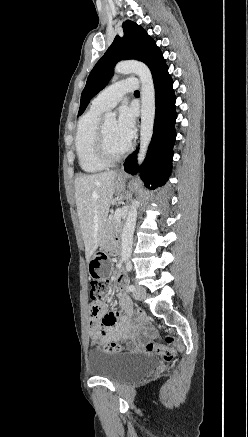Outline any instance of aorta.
<instances>
[{"mask_svg": "<svg viewBox=\"0 0 248 437\" xmlns=\"http://www.w3.org/2000/svg\"><path fill=\"white\" fill-rule=\"evenodd\" d=\"M115 72L124 75L136 74L141 82L140 150L137 156L138 164L141 165L146 157L154 130L155 89L152 74L149 68L139 61L120 62L116 65ZM105 117L107 119H114L115 114L108 113ZM137 180L140 181L139 175H137ZM137 209L138 201L133 200L121 235V256L124 260H128L131 257L133 235L138 215Z\"/></svg>", "mask_w": 248, "mask_h": 437, "instance_id": "762f6f07", "label": "aorta"}]
</instances>
